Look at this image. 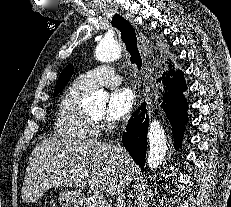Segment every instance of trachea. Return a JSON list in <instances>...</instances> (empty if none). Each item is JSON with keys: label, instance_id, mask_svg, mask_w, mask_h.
Listing matches in <instances>:
<instances>
[{"label": "trachea", "instance_id": "1", "mask_svg": "<svg viewBox=\"0 0 231 207\" xmlns=\"http://www.w3.org/2000/svg\"><path fill=\"white\" fill-rule=\"evenodd\" d=\"M111 23L121 32V38L130 55L131 63L135 64L138 69H141L142 58L138 49V41L133 26L129 21L118 14L112 17Z\"/></svg>", "mask_w": 231, "mask_h": 207}]
</instances>
